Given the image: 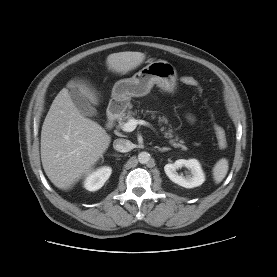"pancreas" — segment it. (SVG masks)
I'll list each match as a JSON object with an SVG mask.
<instances>
[{
    "mask_svg": "<svg viewBox=\"0 0 277 277\" xmlns=\"http://www.w3.org/2000/svg\"><path fill=\"white\" fill-rule=\"evenodd\" d=\"M135 114H136V112H133V111H131L130 109L127 110L126 112L122 113V114L119 116V118H118L120 127H122L123 124H124L126 121L130 120L131 118H133V115H135ZM152 117L154 118V116H152ZM159 122L167 124V123H168V120L163 116V117H159ZM161 130L163 131L164 128H162ZM172 132H173V131H172L171 129H169L167 132H164V137L170 139V140H169V143H170L173 147H175V148H182L183 150H187V147L183 144V143H184L183 140H179L178 137H176L175 139H172V138H173Z\"/></svg>",
    "mask_w": 277,
    "mask_h": 277,
    "instance_id": "cf45deb5",
    "label": "pancreas"
}]
</instances>
